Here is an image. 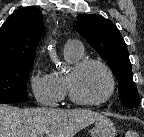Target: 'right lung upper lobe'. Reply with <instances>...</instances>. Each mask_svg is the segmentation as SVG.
<instances>
[{
    "instance_id": "cb5924a9",
    "label": "right lung upper lobe",
    "mask_w": 144,
    "mask_h": 137,
    "mask_svg": "<svg viewBox=\"0 0 144 137\" xmlns=\"http://www.w3.org/2000/svg\"><path fill=\"white\" fill-rule=\"evenodd\" d=\"M43 32V17L38 8L16 10L0 27V63L34 59Z\"/></svg>"
}]
</instances>
